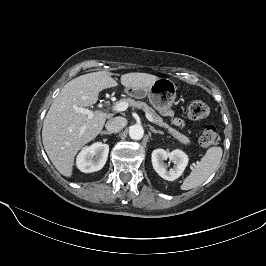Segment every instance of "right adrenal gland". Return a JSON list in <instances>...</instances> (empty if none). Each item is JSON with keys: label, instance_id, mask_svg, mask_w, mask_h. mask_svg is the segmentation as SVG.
<instances>
[{"label": "right adrenal gland", "instance_id": "1", "mask_svg": "<svg viewBox=\"0 0 266 266\" xmlns=\"http://www.w3.org/2000/svg\"><path fill=\"white\" fill-rule=\"evenodd\" d=\"M100 134H101V135H103V134L111 135V133H110V132H107V131H101Z\"/></svg>", "mask_w": 266, "mask_h": 266}]
</instances>
